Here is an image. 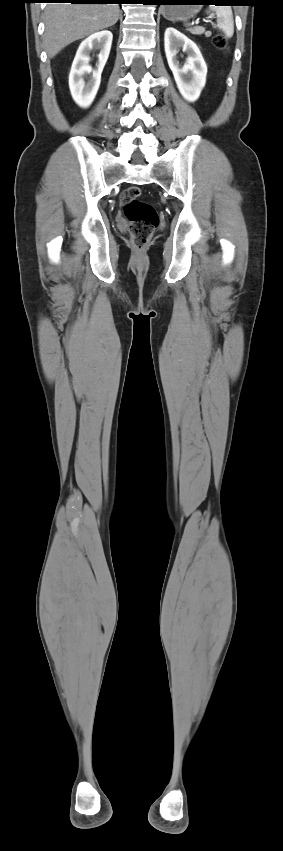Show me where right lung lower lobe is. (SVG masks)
<instances>
[{
    "mask_svg": "<svg viewBox=\"0 0 283 851\" xmlns=\"http://www.w3.org/2000/svg\"><path fill=\"white\" fill-rule=\"evenodd\" d=\"M47 2H64L77 4H122L127 0H45Z\"/></svg>",
    "mask_w": 283,
    "mask_h": 851,
    "instance_id": "1",
    "label": "right lung lower lobe"
}]
</instances>
